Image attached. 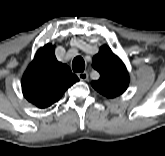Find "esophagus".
<instances>
[{"mask_svg":"<svg viewBox=\"0 0 165 156\" xmlns=\"http://www.w3.org/2000/svg\"><path fill=\"white\" fill-rule=\"evenodd\" d=\"M77 76L81 81H86L88 79V73L87 72H80L77 74Z\"/></svg>","mask_w":165,"mask_h":156,"instance_id":"1","label":"esophagus"}]
</instances>
